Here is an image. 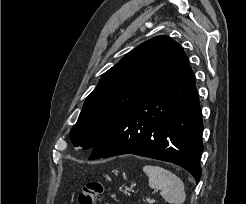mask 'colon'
Segmentation results:
<instances>
[{
  "label": "colon",
  "mask_w": 246,
  "mask_h": 204,
  "mask_svg": "<svg viewBox=\"0 0 246 204\" xmlns=\"http://www.w3.org/2000/svg\"><path fill=\"white\" fill-rule=\"evenodd\" d=\"M104 191V186L99 181L88 182L78 195L79 204H95L99 195Z\"/></svg>",
  "instance_id": "5ec220e1"
}]
</instances>
